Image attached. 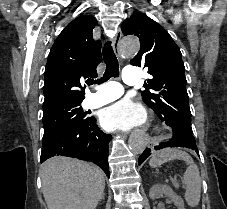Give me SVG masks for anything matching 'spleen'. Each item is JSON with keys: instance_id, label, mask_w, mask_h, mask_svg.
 I'll list each match as a JSON object with an SVG mask.
<instances>
[{"instance_id": "obj_1", "label": "spleen", "mask_w": 227, "mask_h": 209, "mask_svg": "<svg viewBox=\"0 0 227 209\" xmlns=\"http://www.w3.org/2000/svg\"><path fill=\"white\" fill-rule=\"evenodd\" d=\"M174 159L185 161L186 165H189L183 175L185 201L189 207L194 209V207H197L201 197V177L197 165H194V161L188 153L180 151V149H161V151H157L153 155L149 165L152 169H155V167H161L163 163L174 161Z\"/></svg>"}]
</instances>
